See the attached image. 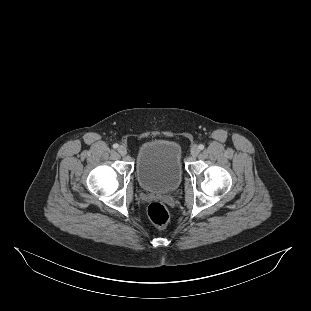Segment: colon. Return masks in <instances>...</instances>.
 <instances>
[{
    "label": "colon",
    "mask_w": 311,
    "mask_h": 311,
    "mask_svg": "<svg viewBox=\"0 0 311 311\" xmlns=\"http://www.w3.org/2000/svg\"><path fill=\"white\" fill-rule=\"evenodd\" d=\"M150 220L158 227H165L170 219V214L166 206L160 202H153L148 207Z\"/></svg>",
    "instance_id": "obj_1"
}]
</instances>
